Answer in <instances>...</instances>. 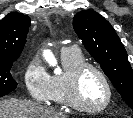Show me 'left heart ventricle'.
Listing matches in <instances>:
<instances>
[{
  "instance_id": "1",
  "label": "left heart ventricle",
  "mask_w": 133,
  "mask_h": 118,
  "mask_svg": "<svg viewBox=\"0 0 133 118\" xmlns=\"http://www.w3.org/2000/svg\"><path fill=\"white\" fill-rule=\"evenodd\" d=\"M107 97L103 80L94 70H86L79 83V98L88 107L102 105Z\"/></svg>"
}]
</instances>
